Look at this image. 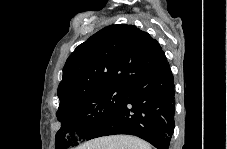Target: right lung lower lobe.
Returning <instances> with one entry per match:
<instances>
[{"label":"right lung lower lobe","mask_w":227,"mask_h":149,"mask_svg":"<svg viewBox=\"0 0 227 149\" xmlns=\"http://www.w3.org/2000/svg\"><path fill=\"white\" fill-rule=\"evenodd\" d=\"M175 91L170 65H164L127 87L126 100L86 138L129 134L157 149H169L174 132Z\"/></svg>","instance_id":"98d812e1"}]
</instances>
